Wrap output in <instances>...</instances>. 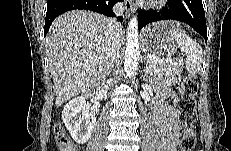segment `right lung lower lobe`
I'll return each instance as SVG.
<instances>
[{
    "label": "right lung lower lobe",
    "mask_w": 231,
    "mask_h": 151,
    "mask_svg": "<svg viewBox=\"0 0 231 151\" xmlns=\"http://www.w3.org/2000/svg\"><path fill=\"white\" fill-rule=\"evenodd\" d=\"M123 0H48L45 18L44 36L53 20L64 12L74 9L91 10L109 17H115L112 7ZM122 21V17L117 18Z\"/></svg>",
    "instance_id": "1"
}]
</instances>
